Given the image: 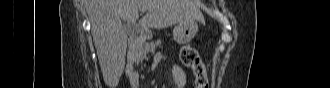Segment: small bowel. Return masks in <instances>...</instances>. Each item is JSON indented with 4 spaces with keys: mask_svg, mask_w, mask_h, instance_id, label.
<instances>
[{
    "mask_svg": "<svg viewBox=\"0 0 330 88\" xmlns=\"http://www.w3.org/2000/svg\"><path fill=\"white\" fill-rule=\"evenodd\" d=\"M171 73L175 86L177 88H184L186 85V75L184 70L180 66L174 65L171 69Z\"/></svg>",
    "mask_w": 330,
    "mask_h": 88,
    "instance_id": "c3829d8e",
    "label": "small bowel"
}]
</instances>
